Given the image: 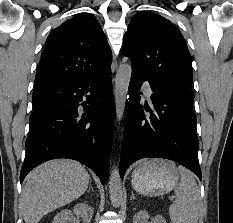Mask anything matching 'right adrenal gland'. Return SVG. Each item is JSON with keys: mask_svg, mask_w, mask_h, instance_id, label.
<instances>
[{"mask_svg": "<svg viewBox=\"0 0 233 223\" xmlns=\"http://www.w3.org/2000/svg\"><path fill=\"white\" fill-rule=\"evenodd\" d=\"M89 183H90V185H89V187H88V191H90V189H91V191H94V189H93V187H92V185H91V179H90Z\"/></svg>", "mask_w": 233, "mask_h": 223, "instance_id": "2a0ac1e0", "label": "right adrenal gland"}]
</instances>
